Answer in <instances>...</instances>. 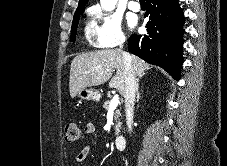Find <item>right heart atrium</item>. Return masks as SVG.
<instances>
[{
	"label": "right heart atrium",
	"instance_id": "obj_1",
	"mask_svg": "<svg viewBox=\"0 0 227 166\" xmlns=\"http://www.w3.org/2000/svg\"><path fill=\"white\" fill-rule=\"evenodd\" d=\"M89 13L94 20V35L98 46L110 49L124 43L121 19L115 13L99 5L92 6Z\"/></svg>",
	"mask_w": 227,
	"mask_h": 166
}]
</instances>
